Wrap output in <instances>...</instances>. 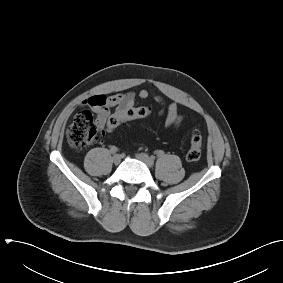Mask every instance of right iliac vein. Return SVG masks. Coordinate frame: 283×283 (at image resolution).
<instances>
[{
    "label": "right iliac vein",
    "instance_id": "right-iliac-vein-1",
    "mask_svg": "<svg viewBox=\"0 0 283 283\" xmlns=\"http://www.w3.org/2000/svg\"><path fill=\"white\" fill-rule=\"evenodd\" d=\"M112 161L115 165H118L120 162H121V155L119 154H115L113 157H112Z\"/></svg>",
    "mask_w": 283,
    "mask_h": 283
}]
</instances>
